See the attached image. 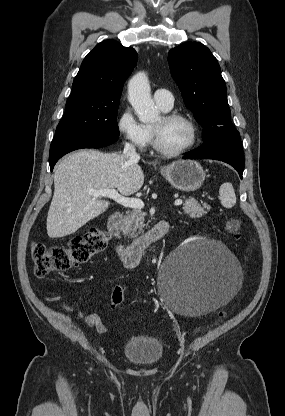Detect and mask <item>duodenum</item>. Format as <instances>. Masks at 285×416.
Segmentation results:
<instances>
[{"mask_svg": "<svg viewBox=\"0 0 285 416\" xmlns=\"http://www.w3.org/2000/svg\"><path fill=\"white\" fill-rule=\"evenodd\" d=\"M122 214L120 212L113 213L107 222V231L110 238L116 243V253L124 269H134L142 258L146 249L164 239L169 231V223L165 220L159 221L145 236L138 240L127 244L123 240L122 230Z\"/></svg>", "mask_w": 285, "mask_h": 416, "instance_id": "obj_1", "label": "duodenum"}]
</instances>
